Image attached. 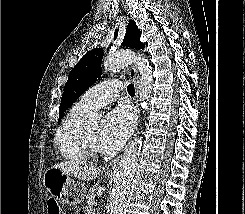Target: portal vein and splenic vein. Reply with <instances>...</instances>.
Returning <instances> with one entry per match:
<instances>
[{"label": "portal vein and splenic vein", "mask_w": 245, "mask_h": 214, "mask_svg": "<svg viewBox=\"0 0 245 214\" xmlns=\"http://www.w3.org/2000/svg\"><path fill=\"white\" fill-rule=\"evenodd\" d=\"M101 195H102V192L99 191V192L97 193V196L100 197Z\"/></svg>", "instance_id": "18ae733b"}]
</instances>
